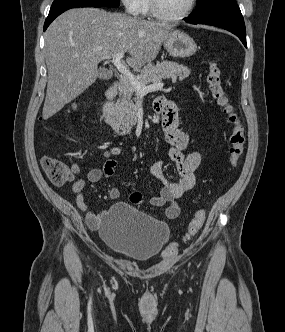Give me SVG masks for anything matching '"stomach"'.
I'll return each mask as SVG.
<instances>
[{"label": "stomach", "mask_w": 285, "mask_h": 332, "mask_svg": "<svg viewBox=\"0 0 285 332\" xmlns=\"http://www.w3.org/2000/svg\"><path fill=\"white\" fill-rule=\"evenodd\" d=\"M164 47L173 57L187 58L192 56L196 50L197 45L194 40L183 31H171L164 40Z\"/></svg>", "instance_id": "1"}]
</instances>
